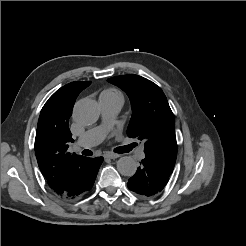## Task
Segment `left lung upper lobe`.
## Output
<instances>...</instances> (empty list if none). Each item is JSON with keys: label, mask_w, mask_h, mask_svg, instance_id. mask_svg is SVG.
<instances>
[{"label": "left lung upper lobe", "mask_w": 246, "mask_h": 246, "mask_svg": "<svg viewBox=\"0 0 246 246\" xmlns=\"http://www.w3.org/2000/svg\"><path fill=\"white\" fill-rule=\"evenodd\" d=\"M108 82L120 87L130 98L133 113L127 135L144 142L146 156L174 168L177 157L175 122L161 88L134 74L115 76Z\"/></svg>", "instance_id": "obj_1"}]
</instances>
